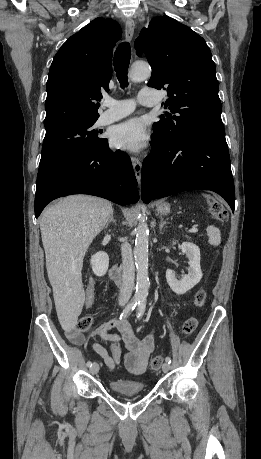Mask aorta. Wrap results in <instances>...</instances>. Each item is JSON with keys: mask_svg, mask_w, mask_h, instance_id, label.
<instances>
[{"mask_svg": "<svg viewBox=\"0 0 261 459\" xmlns=\"http://www.w3.org/2000/svg\"><path fill=\"white\" fill-rule=\"evenodd\" d=\"M151 75V68L147 63H135L132 65L129 78L133 82H141ZM148 236L149 228L143 216L136 228L134 258L137 270L135 299L145 301L150 286L148 278Z\"/></svg>", "mask_w": 261, "mask_h": 459, "instance_id": "aorta-1", "label": "aorta"}]
</instances>
